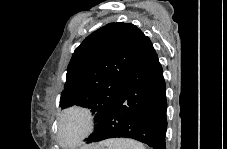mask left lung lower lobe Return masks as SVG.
<instances>
[{
    "mask_svg": "<svg viewBox=\"0 0 227 149\" xmlns=\"http://www.w3.org/2000/svg\"><path fill=\"white\" fill-rule=\"evenodd\" d=\"M165 90L158 56L150 39L144 36L122 89L86 142L125 137L153 149H166Z\"/></svg>",
    "mask_w": 227,
    "mask_h": 149,
    "instance_id": "left-lung-lower-lobe-1",
    "label": "left lung lower lobe"
}]
</instances>
